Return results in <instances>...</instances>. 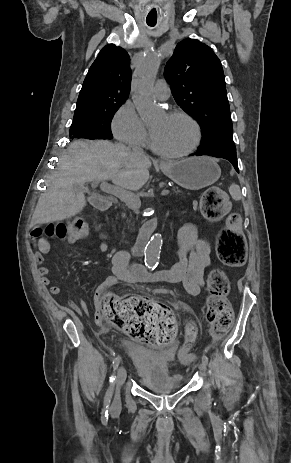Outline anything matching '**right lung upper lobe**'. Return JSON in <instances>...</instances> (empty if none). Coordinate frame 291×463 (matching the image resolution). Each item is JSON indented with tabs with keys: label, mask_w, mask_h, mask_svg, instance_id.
Here are the masks:
<instances>
[{
	"label": "right lung upper lobe",
	"mask_w": 291,
	"mask_h": 463,
	"mask_svg": "<svg viewBox=\"0 0 291 463\" xmlns=\"http://www.w3.org/2000/svg\"><path fill=\"white\" fill-rule=\"evenodd\" d=\"M130 57L121 47L108 44L91 65L80 91L74 116L102 107L108 101L124 102L130 92Z\"/></svg>",
	"instance_id": "cb5924a9"
}]
</instances>
